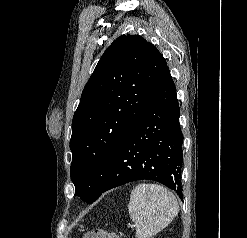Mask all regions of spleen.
Masks as SVG:
<instances>
[{
    "instance_id": "1",
    "label": "spleen",
    "mask_w": 247,
    "mask_h": 238,
    "mask_svg": "<svg viewBox=\"0 0 247 238\" xmlns=\"http://www.w3.org/2000/svg\"><path fill=\"white\" fill-rule=\"evenodd\" d=\"M128 209L136 226V237L151 238L172 222L179 205L167 188L141 183L132 190Z\"/></svg>"
}]
</instances>
